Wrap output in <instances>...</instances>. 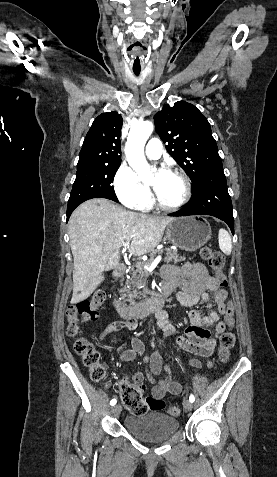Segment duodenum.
Wrapping results in <instances>:
<instances>
[{"instance_id":"duodenum-1","label":"duodenum","mask_w":277,"mask_h":477,"mask_svg":"<svg viewBox=\"0 0 277 477\" xmlns=\"http://www.w3.org/2000/svg\"><path fill=\"white\" fill-rule=\"evenodd\" d=\"M127 274V269L123 266L117 267L114 271L115 278L122 282ZM112 304L117 313L126 320H135L146 317L147 315L160 311L164 304L166 293L155 295L140 303L139 305L128 307L122 303L117 296V290L114 287L111 292Z\"/></svg>"}]
</instances>
